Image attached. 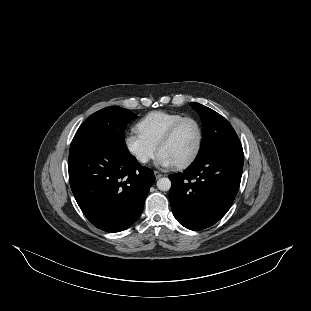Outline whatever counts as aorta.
Returning <instances> with one entry per match:
<instances>
[{"label": "aorta", "mask_w": 311, "mask_h": 311, "mask_svg": "<svg viewBox=\"0 0 311 311\" xmlns=\"http://www.w3.org/2000/svg\"><path fill=\"white\" fill-rule=\"evenodd\" d=\"M157 188L161 191H168L171 188V180L167 177H162L157 181Z\"/></svg>", "instance_id": "obj_1"}]
</instances>
